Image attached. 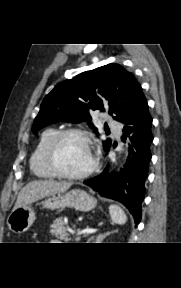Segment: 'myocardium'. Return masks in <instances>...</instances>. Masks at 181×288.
<instances>
[{"label":"myocardium","mask_w":181,"mask_h":288,"mask_svg":"<svg viewBox=\"0 0 181 288\" xmlns=\"http://www.w3.org/2000/svg\"><path fill=\"white\" fill-rule=\"evenodd\" d=\"M68 136H78L82 138L87 145L89 146L92 162L90 166L79 173H70L64 170L61 165L58 162L57 153L60 143L63 139H65ZM46 162L48 167L52 170L53 173H55L58 177L66 178V179H72V180H79L88 177L90 174H92L97 166H98V156L94 151L93 148V141L91 135L82 129L78 128H67L58 131L52 140L50 141L47 150H46Z\"/></svg>","instance_id":"1"}]
</instances>
